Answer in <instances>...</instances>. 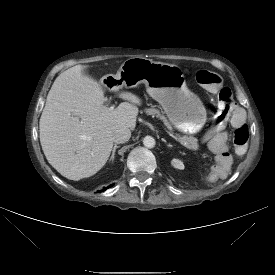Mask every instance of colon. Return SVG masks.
Masks as SVG:
<instances>
[{
	"label": "colon",
	"mask_w": 275,
	"mask_h": 275,
	"mask_svg": "<svg viewBox=\"0 0 275 275\" xmlns=\"http://www.w3.org/2000/svg\"><path fill=\"white\" fill-rule=\"evenodd\" d=\"M196 80L200 85L210 90L218 89L219 108L215 116V122L216 124L225 123L229 114L235 107V101H234L232 91L227 87L220 88V85L222 82L221 77L218 74L207 70L198 71L196 74ZM248 139H249V130L247 126H242L235 130L233 142L236 150L239 153H242L245 151L248 143Z\"/></svg>",
	"instance_id": "5ec220e1"
}]
</instances>
